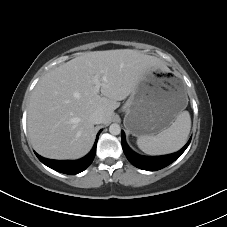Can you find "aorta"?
Segmentation results:
<instances>
[{
  "label": "aorta",
  "mask_w": 227,
  "mask_h": 227,
  "mask_svg": "<svg viewBox=\"0 0 227 227\" xmlns=\"http://www.w3.org/2000/svg\"><path fill=\"white\" fill-rule=\"evenodd\" d=\"M109 132H110L112 135H119L120 132H121L120 125L117 124V123L111 124L110 127H109Z\"/></svg>",
  "instance_id": "762f6f07"
}]
</instances>
